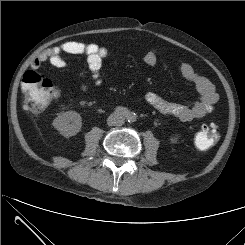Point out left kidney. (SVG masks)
I'll return each mask as SVG.
<instances>
[{"label":"left kidney","instance_id":"obj_1","mask_svg":"<svg viewBox=\"0 0 245 245\" xmlns=\"http://www.w3.org/2000/svg\"><path fill=\"white\" fill-rule=\"evenodd\" d=\"M171 141H172V142H177V138H176V137H172V138H171Z\"/></svg>","mask_w":245,"mask_h":245}]
</instances>
